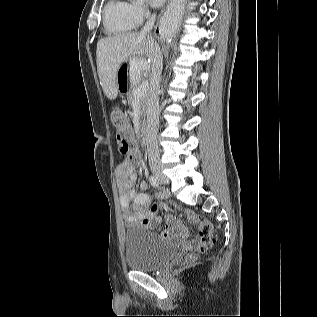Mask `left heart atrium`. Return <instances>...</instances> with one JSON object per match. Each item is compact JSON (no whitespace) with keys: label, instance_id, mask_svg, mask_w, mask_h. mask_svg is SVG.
<instances>
[{"label":"left heart atrium","instance_id":"39dd6f15","mask_svg":"<svg viewBox=\"0 0 317 317\" xmlns=\"http://www.w3.org/2000/svg\"><path fill=\"white\" fill-rule=\"evenodd\" d=\"M165 0H149V3L154 7H159L164 3Z\"/></svg>","mask_w":317,"mask_h":317}]
</instances>
